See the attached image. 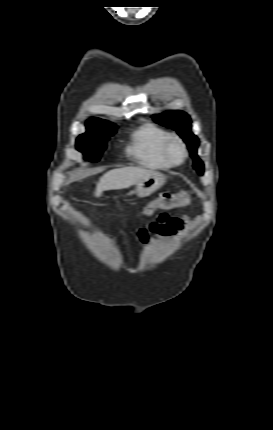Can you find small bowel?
<instances>
[{"instance_id":"1","label":"small bowel","mask_w":273,"mask_h":430,"mask_svg":"<svg viewBox=\"0 0 273 430\" xmlns=\"http://www.w3.org/2000/svg\"><path fill=\"white\" fill-rule=\"evenodd\" d=\"M185 224V220L171 216H160L147 228H141L137 232V238L143 248L150 243L162 244L165 239H174L183 230Z\"/></svg>"}]
</instances>
